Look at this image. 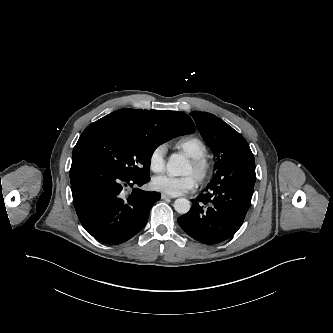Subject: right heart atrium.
<instances>
[{
  "instance_id": "obj_1",
  "label": "right heart atrium",
  "mask_w": 333,
  "mask_h": 333,
  "mask_svg": "<svg viewBox=\"0 0 333 333\" xmlns=\"http://www.w3.org/2000/svg\"><path fill=\"white\" fill-rule=\"evenodd\" d=\"M165 162V147L159 145L155 147L149 155V168L154 173H161L165 169Z\"/></svg>"
}]
</instances>
